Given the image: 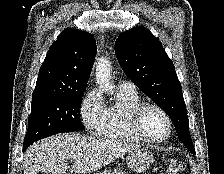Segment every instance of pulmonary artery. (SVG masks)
Listing matches in <instances>:
<instances>
[{
  "instance_id": "1",
  "label": "pulmonary artery",
  "mask_w": 224,
  "mask_h": 174,
  "mask_svg": "<svg viewBox=\"0 0 224 174\" xmlns=\"http://www.w3.org/2000/svg\"><path fill=\"white\" fill-rule=\"evenodd\" d=\"M118 89L131 92L136 91L135 85L129 81H120L118 84Z\"/></svg>"
}]
</instances>
